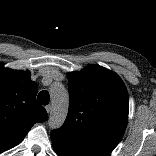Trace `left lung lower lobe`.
<instances>
[{
    "instance_id": "left-lung-lower-lobe-1",
    "label": "left lung lower lobe",
    "mask_w": 156,
    "mask_h": 156,
    "mask_svg": "<svg viewBox=\"0 0 156 156\" xmlns=\"http://www.w3.org/2000/svg\"><path fill=\"white\" fill-rule=\"evenodd\" d=\"M51 139L58 156H103L97 152L77 146L53 132H51Z\"/></svg>"
}]
</instances>
